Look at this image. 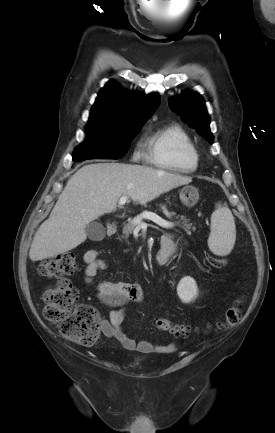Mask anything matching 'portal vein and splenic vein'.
<instances>
[{
	"instance_id": "1",
	"label": "portal vein and splenic vein",
	"mask_w": 275,
	"mask_h": 433,
	"mask_svg": "<svg viewBox=\"0 0 275 433\" xmlns=\"http://www.w3.org/2000/svg\"><path fill=\"white\" fill-rule=\"evenodd\" d=\"M127 200H128L127 196H122L119 200V205H124L127 202ZM142 219L151 220L163 228H172L174 226V224L172 222L166 221V220L162 219L161 217H159L158 215H156L154 213H150V212L143 214L140 218H138L135 221V224L139 227L142 226L144 224L142 222Z\"/></svg>"
}]
</instances>
